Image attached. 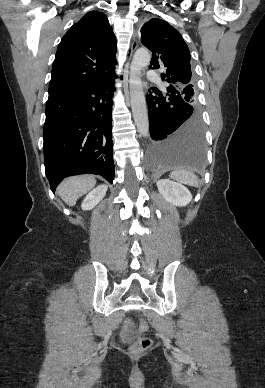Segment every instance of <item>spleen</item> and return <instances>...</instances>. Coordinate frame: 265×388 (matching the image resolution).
<instances>
[{
    "instance_id": "3e777b00",
    "label": "spleen",
    "mask_w": 265,
    "mask_h": 388,
    "mask_svg": "<svg viewBox=\"0 0 265 388\" xmlns=\"http://www.w3.org/2000/svg\"><path fill=\"white\" fill-rule=\"evenodd\" d=\"M171 180H176V182H180V184H187V186H198V180L192 172H188V170H175V172H171L170 174Z\"/></svg>"
}]
</instances>
